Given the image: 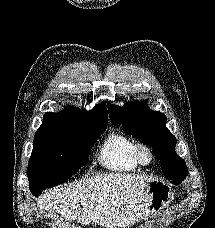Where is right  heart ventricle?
Listing matches in <instances>:
<instances>
[{"instance_id":"e07e8e85","label":"right heart ventricle","mask_w":215,"mask_h":228,"mask_svg":"<svg viewBox=\"0 0 215 228\" xmlns=\"http://www.w3.org/2000/svg\"><path fill=\"white\" fill-rule=\"evenodd\" d=\"M136 145V142L129 136L110 132L99 146L98 161L113 172H135L139 168L134 158Z\"/></svg>"}]
</instances>
